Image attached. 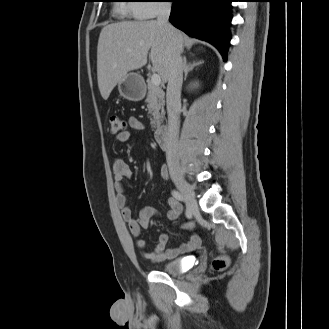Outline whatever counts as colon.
Wrapping results in <instances>:
<instances>
[{"label":"colon","instance_id":"obj_1","mask_svg":"<svg viewBox=\"0 0 329 329\" xmlns=\"http://www.w3.org/2000/svg\"><path fill=\"white\" fill-rule=\"evenodd\" d=\"M109 126H110V133L113 135H118L125 130V122L124 120L117 116L112 115L109 118ZM183 227L187 230L194 229L193 222H187L183 225ZM229 265V258L227 256H219L215 258L212 262V266L217 271L225 270Z\"/></svg>","mask_w":329,"mask_h":329}]
</instances>
